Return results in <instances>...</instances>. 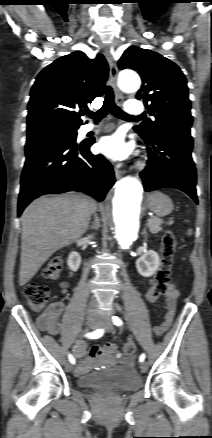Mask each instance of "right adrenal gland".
<instances>
[{"mask_svg": "<svg viewBox=\"0 0 212 438\" xmlns=\"http://www.w3.org/2000/svg\"><path fill=\"white\" fill-rule=\"evenodd\" d=\"M95 222H96V224H97V226H98V218H97V217H95ZM97 226L92 225V226L88 227L87 229H91V230H92V229H96Z\"/></svg>", "mask_w": 212, "mask_h": 438, "instance_id": "right-adrenal-gland-1", "label": "right adrenal gland"}]
</instances>
